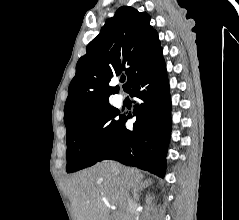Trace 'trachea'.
<instances>
[{
  "label": "trachea",
  "instance_id": "obj_1",
  "mask_svg": "<svg viewBox=\"0 0 239 220\" xmlns=\"http://www.w3.org/2000/svg\"><path fill=\"white\" fill-rule=\"evenodd\" d=\"M120 81H121V82H124V81H125V79H121Z\"/></svg>",
  "mask_w": 239,
  "mask_h": 220
}]
</instances>
